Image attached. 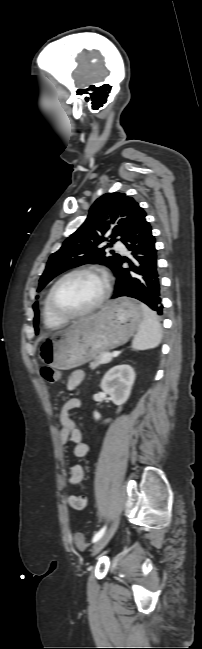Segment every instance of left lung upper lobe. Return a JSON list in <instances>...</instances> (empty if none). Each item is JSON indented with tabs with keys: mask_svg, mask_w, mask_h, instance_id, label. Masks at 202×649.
Masks as SVG:
<instances>
[{
	"mask_svg": "<svg viewBox=\"0 0 202 649\" xmlns=\"http://www.w3.org/2000/svg\"><path fill=\"white\" fill-rule=\"evenodd\" d=\"M145 215L139 204L124 193H107L101 196L92 205L81 227L65 240L60 250L50 256L37 291H41L48 282L63 271L86 263L101 262L112 269L120 256L118 254L106 256L105 249L112 247L116 237L120 236L122 240L135 221ZM104 235L111 238V243L106 246L101 244L107 240ZM33 309L35 333L38 334L37 302L33 305Z\"/></svg>",
	"mask_w": 202,
	"mask_h": 649,
	"instance_id": "5c2ea615",
	"label": "left lung upper lobe"
}]
</instances>
